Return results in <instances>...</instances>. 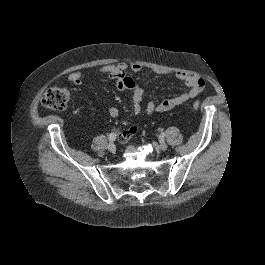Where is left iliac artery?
Here are the masks:
<instances>
[{
  "mask_svg": "<svg viewBox=\"0 0 265 265\" xmlns=\"http://www.w3.org/2000/svg\"><path fill=\"white\" fill-rule=\"evenodd\" d=\"M165 137V133L160 134V138L163 139Z\"/></svg>",
  "mask_w": 265,
  "mask_h": 265,
  "instance_id": "1",
  "label": "left iliac artery"
}]
</instances>
